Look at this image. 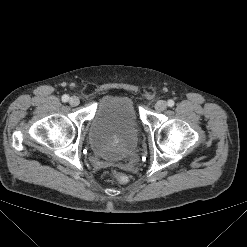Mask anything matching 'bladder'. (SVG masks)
I'll list each match as a JSON object with an SVG mask.
<instances>
[{
  "mask_svg": "<svg viewBox=\"0 0 247 247\" xmlns=\"http://www.w3.org/2000/svg\"><path fill=\"white\" fill-rule=\"evenodd\" d=\"M139 131L135 102L124 94H107L98 101L90 123L89 146L101 158L122 162L134 153Z\"/></svg>",
  "mask_w": 247,
  "mask_h": 247,
  "instance_id": "obj_1",
  "label": "bladder"
}]
</instances>
